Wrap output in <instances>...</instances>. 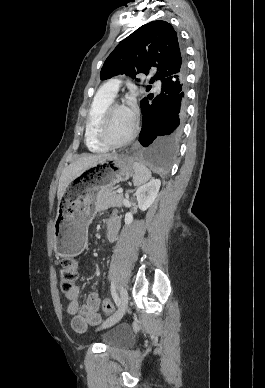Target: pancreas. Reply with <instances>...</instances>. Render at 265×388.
Segmentation results:
<instances>
[{
  "label": "pancreas",
  "instance_id": "pancreas-1",
  "mask_svg": "<svg viewBox=\"0 0 265 388\" xmlns=\"http://www.w3.org/2000/svg\"><path fill=\"white\" fill-rule=\"evenodd\" d=\"M123 194H116L110 190H100L97 194L95 206L98 210H106V208H121Z\"/></svg>",
  "mask_w": 265,
  "mask_h": 388
}]
</instances>
